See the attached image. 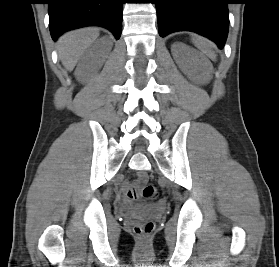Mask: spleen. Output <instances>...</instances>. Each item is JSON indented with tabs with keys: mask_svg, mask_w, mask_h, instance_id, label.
<instances>
[{
	"mask_svg": "<svg viewBox=\"0 0 279 267\" xmlns=\"http://www.w3.org/2000/svg\"><path fill=\"white\" fill-rule=\"evenodd\" d=\"M193 42L195 44V46L200 49L206 56H208L211 59H215V54L211 49V46L204 40L201 38L198 39H193Z\"/></svg>",
	"mask_w": 279,
	"mask_h": 267,
	"instance_id": "1",
	"label": "spleen"
}]
</instances>
